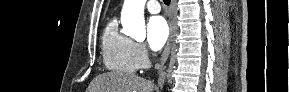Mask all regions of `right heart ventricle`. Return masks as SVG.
<instances>
[{
	"label": "right heart ventricle",
	"instance_id": "obj_1",
	"mask_svg": "<svg viewBox=\"0 0 289 92\" xmlns=\"http://www.w3.org/2000/svg\"><path fill=\"white\" fill-rule=\"evenodd\" d=\"M132 49L133 41L119 31L117 20L111 19L102 35V56L105 66L119 73H134L137 67Z\"/></svg>",
	"mask_w": 289,
	"mask_h": 92
}]
</instances>
